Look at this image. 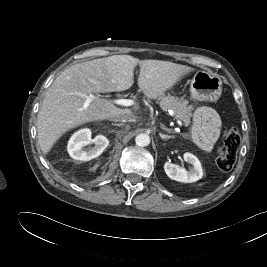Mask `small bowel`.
<instances>
[{"label": "small bowel", "instance_id": "obj_1", "mask_svg": "<svg viewBox=\"0 0 267 267\" xmlns=\"http://www.w3.org/2000/svg\"><path fill=\"white\" fill-rule=\"evenodd\" d=\"M221 118L210 107H199L194 111L192 136L195 143L203 150H211L220 134Z\"/></svg>", "mask_w": 267, "mask_h": 267}]
</instances>
